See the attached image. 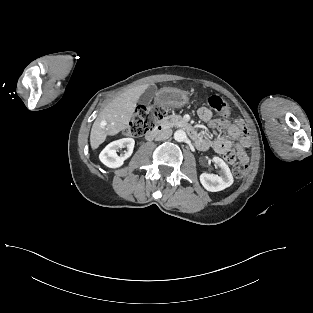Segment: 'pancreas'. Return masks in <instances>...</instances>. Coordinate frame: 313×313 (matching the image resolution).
Segmentation results:
<instances>
[{
    "label": "pancreas",
    "instance_id": "obj_1",
    "mask_svg": "<svg viewBox=\"0 0 313 313\" xmlns=\"http://www.w3.org/2000/svg\"><path fill=\"white\" fill-rule=\"evenodd\" d=\"M163 122L170 126V127H173V126H176V125H179V124H182L183 123V119L181 116L179 115H169L167 117H165V119L163 120Z\"/></svg>",
    "mask_w": 313,
    "mask_h": 313
}]
</instances>
